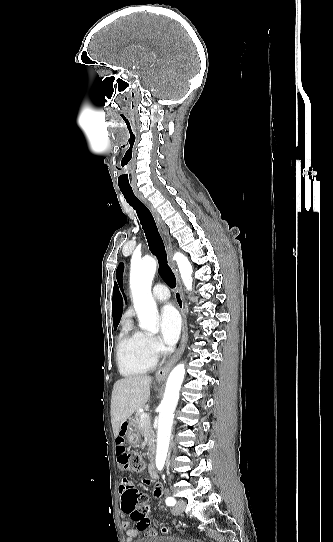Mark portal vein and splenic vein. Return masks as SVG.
Here are the masks:
<instances>
[{
    "label": "portal vein and splenic vein",
    "instance_id": "obj_1",
    "mask_svg": "<svg viewBox=\"0 0 333 542\" xmlns=\"http://www.w3.org/2000/svg\"><path fill=\"white\" fill-rule=\"evenodd\" d=\"M144 418H148V414H142L141 420H144Z\"/></svg>",
    "mask_w": 333,
    "mask_h": 542
}]
</instances>
